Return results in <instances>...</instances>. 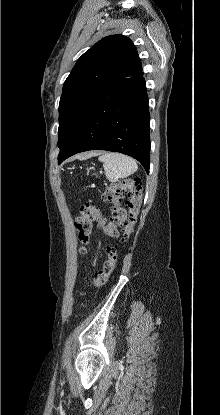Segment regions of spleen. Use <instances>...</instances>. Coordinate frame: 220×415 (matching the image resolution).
I'll list each match as a JSON object with an SVG mask.
<instances>
[{
  "label": "spleen",
  "instance_id": "spleen-1",
  "mask_svg": "<svg viewBox=\"0 0 220 415\" xmlns=\"http://www.w3.org/2000/svg\"><path fill=\"white\" fill-rule=\"evenodd\" d=\"M98 159L103 162L105 175L111 182L133 174L138 168L134 159L120 153H104Z\"/></svg>",
  "mask_w": 220,
  "mask_h": 415
}]
</instances>
